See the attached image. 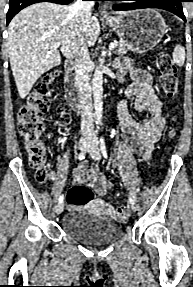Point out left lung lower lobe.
<instances>
[{"mask_svg":"<svg viewBox=\"0 0 193 287\" xmlns=\"http://www.w3.org/2000/svg\"><path fill=\"white\" fill-rule=\"evenodd\" d=\"M112 1H121V0H112ZM131 1H135V3L124 6H114L113 9L116 11H121V10H134L141 8H159L170 11L175 15L179 16L184 21H186L181 4L186 0H131Z\"/></svg>","mask_w":193,"mask_h":287,"instance_id":"1","label":"left lung lower lobe"}]
</instances>
